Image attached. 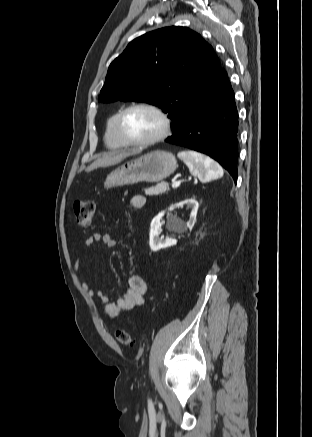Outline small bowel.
Returning <instances> with one entry per match:
<instances>
[{"label":"small bowel","instance_id":"obj_1","mask_svg":"<svg viewBox=\"0 0 312 437\" xmlns=\"http://www.w3.org/2000/svg\"><path fill=\"white\" fill-rule=\"evenodd\" d=\"M146 199L142 195H135L130 200L132 210H140L145 206ZM96 242H101L105 248H114L118 241L108 233H95L86 239L85 245L90 248ZM77 268V264H75ZM87 294L95 298L103 312L109 317L116 318L123 311L132 310L144 303V295L147 291L145 280L141 276H132L129 279L126 292L115 302L111 301L108 295L101 289L94 288L88 283H84Z\"/></svg>","mask_w":312,"mask_h":437}]
</instances>
